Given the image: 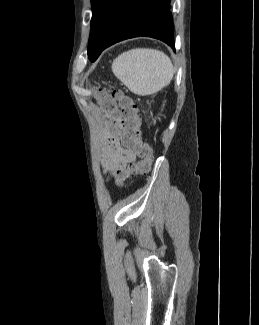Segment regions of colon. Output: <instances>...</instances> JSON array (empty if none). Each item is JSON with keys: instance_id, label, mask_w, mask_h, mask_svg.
I'll return each instance as SVG.
<instances>
[{"instance_id": "5ec220e1", "label": "colon", "mask_w": 259, "mask_h": 325, "mask_svg": "<svg viewBox=\"0 0 259 325\" xmlns=\"http://www.w3.org/2000/svg\"><path fill=\"white\" fill-rule=\"evenodd\" d=\"M98 106L106 115L107 129H122V143L141 158V161L118 170L115 176L122 185L131 175L146 173L154 160L153 148L141 139L140 118L136 101L120 90L97 95Z\"/></svg>"}]
</instances>
